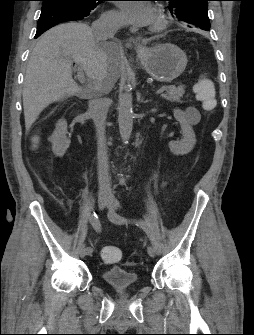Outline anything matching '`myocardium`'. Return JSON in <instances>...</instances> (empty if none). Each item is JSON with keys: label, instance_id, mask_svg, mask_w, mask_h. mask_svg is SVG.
<instances>
[{"label": "myocardium", "instance_id": "1", "mask_svg": "<svg viewBox=\"0 0 254 335\" xmlns=\"http://www.w3.org/2000/svg\"><path fill=\"white\" fill-rule=\"evenodd\" d=\"M166 26H167V20L164 17L159 16L155 22L154 30H162Z\"/></svg>", "mask_w": 254, "mask_h": 335}]
</instances>
